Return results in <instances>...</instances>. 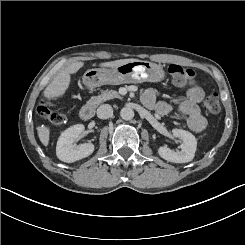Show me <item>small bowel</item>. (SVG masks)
<instances>
[{
	"label": "small bowel",
	"mask_w": 245,
	"mask_h": 245,
	"mask_svg": "<svg viewBox=\"0 0 245 245\" xmlns=\"http://www.w3.org/2000/svg\"><path fill=\"white\" fill-rule=\"evenodd\" d=\"M178 87L184 91L185 96L176 105L158 101L157 92L154 89L145 91L142 96V102L146 107L162 116L176 111L191 130L195 132L204 130L207 120L199 108V103L204 97L202 87L194 80L178 83Z\"/></svg>",
	"instance_id": "obj_1"
}]
</instances>
